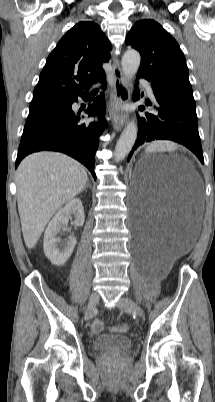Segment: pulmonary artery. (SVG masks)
<instances>
[{"mask_svg":"<svg viewBox=\"0 0 215 402\" xmlns=\"http://www.w3.org/2000/svg\"><path fill=\"white\" fill-rule=\"evenodd\" d=\"M141 82H142V84L145 85L148 95L153 97V90H152L150 84L145 80H141Z\"/></svg>","mask_w":215,"mask_h":402,"instance_id":"pulmonary-artery-1","label":"pulmonary artery"}]
</instances>
